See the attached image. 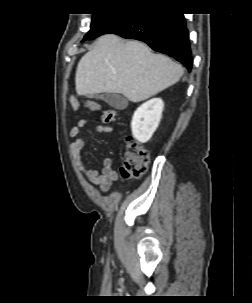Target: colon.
<instances>
[{
  "instance_id": "colon-1",
  "label": "colon",
  "mask_w": 252,
  "mask_h": 303,
  "mask_svg": "<svg viewBox=\"0 0 252 303\" xmlns=\"http://www.w3.org/2000/svg\"><path fill=\"white\" fill-rule=\"evenodd\" d=\"M70 105L73 110L79 109V103L76 97H71ZM88 108L100 110V117L103 123H110L114 120L116 112L112 109H100L97 102L90 101ZM148 152L138 142L133 139L126 141L125 160L121 166V173L124 177H138L146 171L148 163Z\"/></svg>"
}]
</instances>
